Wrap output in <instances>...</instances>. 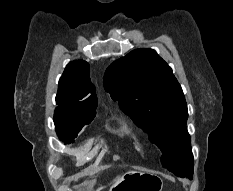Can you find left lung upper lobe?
<instances>
[{
    "mask_svg": "<svg viewBox=\"0 0 233 191\" xmlns=\"http://www.w3.org/2000/svg\"><path fill=\"white\" fill-rule=\"evenodd\" d=\"M104 86L134 123L162 151L163 167L193 171L187 105L171 67L152 49H135L106 70Z\"/></svg>",
    "mask_w": 233,
    "mask_h": 191,
    "instance_id": "left-lung-upper-lobe-1",
    "label": "left lung upper lobe"
}]
</instances>
